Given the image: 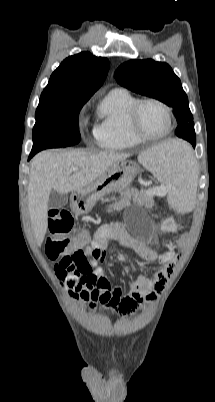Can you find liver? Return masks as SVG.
Instances as JSON below:
<instances>
[{
  "instance_id": "liver-1",
  "label": "liver",
  "mask_w": 215,
  "mask_h": 402,
  "mask_svg": "<svg viewBox=\"0 0 215 402\" xmlns=\"http://www.w3.org/2000/svg\"><path fill=\"white\" fill-rule=\"evenodd\" d=\"M128 157V154L114 151L38 153L31 161L28 185L29 215L38 246L43 243L47 231L48 199L52 190L62 194L80 190L95 182L111 166ZM72 168L79 170L70 175Z\"/></svg>"
}]
</instances>
